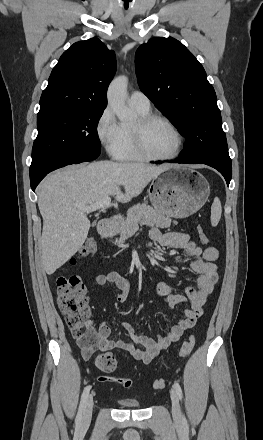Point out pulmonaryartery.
<instances>
[{
	"mask_svg": "<svg viewBox=\"0 0 263 440\" xmlns=\"http://www.w3.org/2000/svg\"><path fill=\"white\" fill-rule=\"evenodd\" d=\"M130 105L139 111H148L150 109L149 98L141 91H133L129 96Z\"/></svg>",
	"mask_w": 263,
	"mask_h": 440,
	"instance_id": "obj_1",
	"label": "pulmonary artery"
}]
</instances>
